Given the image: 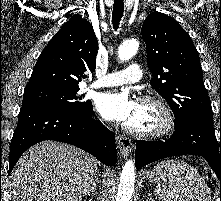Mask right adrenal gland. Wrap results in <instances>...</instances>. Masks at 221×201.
<instances>
[{
    "instance_id": "2a0ac1e0",
    "label": "right adrenal gland",
    "mask_w": 221,
    "mask_h": 201,
    "mask_svg": "<svg viewBox=\"0 0 221 201\" xmlns=\"http://www.w3.org/2000/svg\"><path fill=\"white\" fill-rule=\"evenodd\" d=\"M96 193V185L95 183H93L92 187L88 190V192L82 197H86L87 195L89 196L90 194H95ZM82 198L80 199V201L82 200Z\"/></svg>"
}]
</instances>
